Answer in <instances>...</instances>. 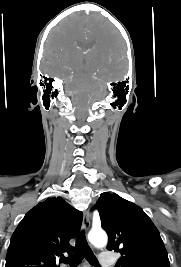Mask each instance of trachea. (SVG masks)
Here are the masks:
<instances>
[{"mask_svg": "<svg viewBox=\"0 0 181 267\" xmlns=\"http://www.w3.org/2000/svg\"><path fill=\"white\" fill-rule=\"evenodd\" d=\"M84 257L92 266L99 267L97 258L87 243L84 231H82L77 237L74 253L68 258L61 259V262L69 263L71 267H77Z\"/></svg>", "mask_w": 181, "mask_h": 267, "instance_id": "1", "label": "trachea"}]
</instances>
